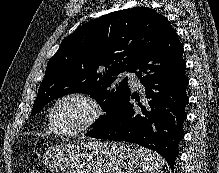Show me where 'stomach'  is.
Masks as SVG:
<instances>
[{"label": "stomach", "instance_id": "1", "mask_svg": "<svg viewBox=\"0 0 219 173\" xmlns=\"http://www.w3.org/2000/svg\"><path fill=\"white\" fill-rule=\"evenodd\" d=\"M138 156L123 142H65L50 146L43 156L52 171L64 173H133Z\"/></svg>", "mask_w": 219, "mask_h": 173}]
</instances>
